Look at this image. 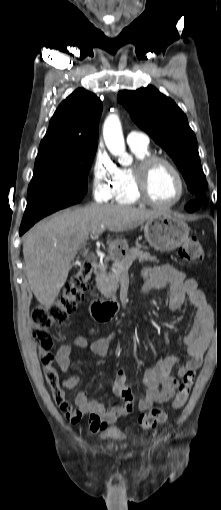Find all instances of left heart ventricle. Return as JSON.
Listing matches in <instances>:
<instances>
[{"label":"left heart ventricle","instance_id":"left-heart-ventricle-1","mask_svg":"<svg viewBox=\"0 0 221 510\" xmlns=\"http://www.w3.org/2000/svg\"><path fill=\"white\" fill-rule=\"evenodd\" d=\"M148 189L155 201L167 203L176 199L180 187L174 172L167 165L158 164L152 169Z\"/></svg>","mask_w":221,"mask_h":510}]
</instances>
